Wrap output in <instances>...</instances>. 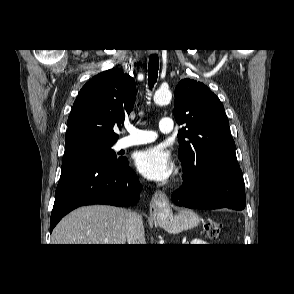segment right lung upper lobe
<instances>
[{"label":"right lung upper lobe","instance_id":"1","mask_svg":"<svg viewBox=\"0 0 294 294\" xmlns=\"http://www.w3.org/2000/svg\"><path fill=\"white\" fill-rule=\"evenodd\" d=\"M136 85L121 69L113 68L94 76L80 90L68 118L65 144L94 139L115 142L120 126L135 102Z\"/></svg>","mask_w":294,"mask_h":294}]
</instances>
